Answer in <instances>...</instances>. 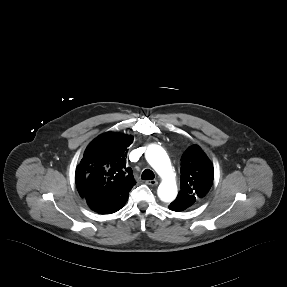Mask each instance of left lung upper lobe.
<instances>
[{
    "label": "left lung upper lobe",
    "mask_w": 287,
    "mask_h": 287,
    "mask_svg": "<svg viewBox=\"0 0 287 287\" xmlns=\"http://www.w3.org/2000/svg\"><path fill=\"white\" fill-rule=\"evenodd\" d=\"M214 169L212 163L197 145L187 148L181 158V190L170 204L176 211L192 207L204 197L212 186Z\"/></svg>",
    "instance_id": "left-lung-upper-lobe-1"
}]
</instances>
